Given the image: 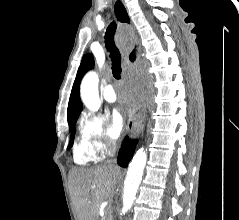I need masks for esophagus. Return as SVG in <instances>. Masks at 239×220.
I'll use <instances>...</instances> for the list:
<instances>
[{
  "label": "esophagus",
  "instance_id": "1",
  "mask_svg": "<svg viewBox=\"0 0 239 220\" xmlns=\"http://www.w3.org/2000/svg\"><path fill=\"white\" fill-rule=\"evenodd\" d=\"M115 15L120 22L130 23L129 16L124 5L121 3L122 0H115ZM134 25L130 24L129 29H133ZM133 34L137 33L136 29L131 31ZM130 33L129 35L132 36L133 34ZM134 47L127 53V61L129 63V68L133 69L136 66V61L141 56V45L139 42H134ZM142 107V99H140V93H133V116H130L129 121L126 126L127 133L130 136H136L139 134V128H141L140 123L142 122L141 118L144 117V109Z\"/></svg>",
  "mask_w": 239,
  "mask_h": 220
}]
</instances>
